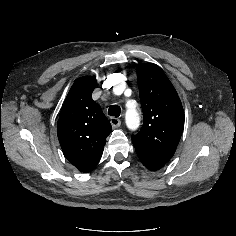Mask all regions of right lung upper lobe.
Instances as JSON below:
<instances>
[{
  "mask_svg": "<svg viewBox=\"0 0 236 236\" xmlns=\"http://www.w3.org/2000/svg\"><path fill=\"white\" fill-rule=\"evenodd\" d=\"M96 78H79L71 87L60 111L57 135L64 155L81 172L98 164L112 127L92 99Z\"/></svg>",
  "mask_w": 236,
  "mask_h": 236,
  "instance_id": "obj_1",
  "label": "right lung upper lobe"
}]
</instances>
